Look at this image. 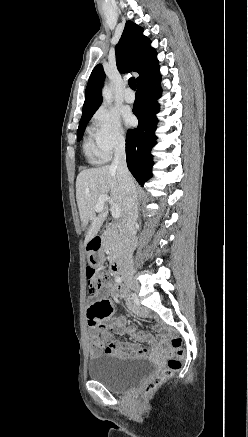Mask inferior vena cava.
<instances>
[{
    "label": "inferior vena cava",
    "mask_w": 248,
    "mask_h": 437,
    "mask_svg": "<svg viewBox=\"0 0 248 437\" xmlns=\"http://www.w3.org/2000/svg\"><path fill=\"white\" fill-rule=\"evenodd\" d=\"M111 168L117 172L118 182L124 192V216L122 220V235L124 240V263L126 267L133 266L132 255L135 250L137 239L135 225L138 218V199L134 179L126 164L125 140L116 142L114 160Z\"/></svg>",
    "instance_id": "602c4592"
}]
</instances>
